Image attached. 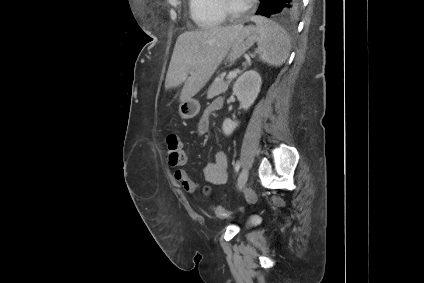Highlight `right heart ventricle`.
I'll return each mask as SVG.
<instances>
[{"label": "right heart ventricle", "mask_w": 424, "mask_h": 283, "mask_svg": "<svg viewBox=\"0 0 424 283\" xmlns=\"http://www.w3.org/2000/svg\"><path fill=\"white\" fill-rule=\"evenodd\" d=\"M190 15L197 26L211 29L226 21L219 0H189Z\"/></svg>", "instance_id": "1"}]
</instances>
